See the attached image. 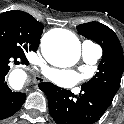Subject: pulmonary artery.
<instances>
[{
    "label": "pulmonary artery",
    "mask_w": 124,
    "mask_h": 124,
    "mask_svg": "<svg viewBox=\"0 0 124 124\" xmlns=\"http://www.w3.org/2000/svg\"><path fill=\"white\" fill-rule=\"evenodd\" d=\"M102 55L100 46L90 41H85L82 44V57L87 64H95Z\"/></svg>",
    "instance_id": "1"
}]
</instances>
